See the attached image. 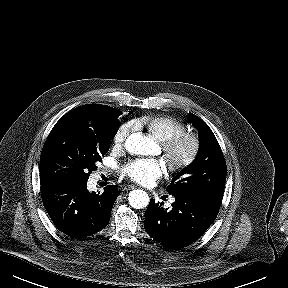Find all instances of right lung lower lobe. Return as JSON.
<instances>
[{
	"label": "right lung lower lobe",
	"instance_id": "1",
	"mask_svg": "<svg viewBox=\"0 0 288 288\" xmlns=\"http://www.w3.org/2000/svg\"><path fill=\"white\" fill-rule=\"evenodd\" d=\"M85 183L41 186L43 205L53 223L71 238L91 236L107 226L120 192L109 185L99 195Z\"/></svg>",
	"mask_w": 288,
	"mask_h": 288
}]
</instances>
